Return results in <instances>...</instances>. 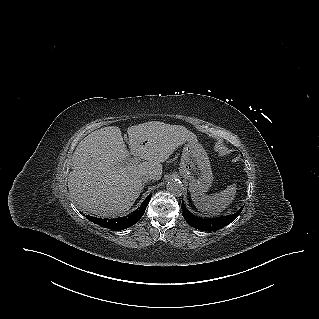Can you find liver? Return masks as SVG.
Segmentation results:
<instances>
[{"instance_id": "liver-1", "label": "liver", "mask_w": 319, "mask_h": 319, "mask_svg": "<svg viewBox=\"0 0 319 319\" xmlns=\"http://www.w3.org/2000/svg\"><path fill=\"white\" fill-rule=\"evenodd\" d=\"M131 154L145 161L126 164V149L120 128L98 129L80 141L72 156L68 187L79 208L100 217L126 213L142 190L141 175L162 176V162L194 133L184 126L150 121L128 127Z\"/></svg>"}]
</instances>
